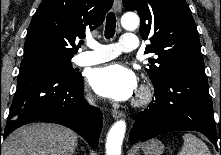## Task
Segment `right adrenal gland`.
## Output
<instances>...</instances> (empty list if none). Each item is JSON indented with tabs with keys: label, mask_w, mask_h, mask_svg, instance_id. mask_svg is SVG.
<instances>
[{
	"label": "right adrenal gland",
	"mask_w": 221,
	"mask_h": 155,
	"mask_svg": "<svg viewBox=\"0 0 221 155\" xmlns=\"http://www.w3.org/2000/svg\"><path fill=\"white\" fill-rule=\"evenodd\" d=\"M81 150L85 151L84 148H81Z\"/></svg>",
	"instance_id": "right-adrenal-gland-1"
}]
</instances>
